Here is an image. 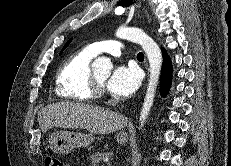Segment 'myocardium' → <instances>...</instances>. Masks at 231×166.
Instances as JSON below:
<instances>
[{
	"mask_svg": "<svg viewBox=\"0 0 231 166\" xmlns=\"http://www.w3.org/2000/svg\"><path fill=\"white\" fill-rule=\"evenodd\" d=\"M90 84L93 98L101 97L104 94V85L97 79L93 71H91Z\"/></svg>",
	"mask_w": 231,
	"mask_h": 166,
	"instance_id": "1",
	"label": "myocardium"
}]
</instances>
